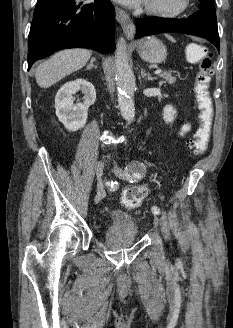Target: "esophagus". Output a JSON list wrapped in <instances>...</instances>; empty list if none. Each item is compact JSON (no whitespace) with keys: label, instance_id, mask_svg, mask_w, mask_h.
<instances>
[{"label":"esophagus","instance_id":"34e87169","mask_svg":"<svg viewBox=\"0 0 233 328\" xmlns=\"http://www.w3.org/2000/svg\"><path fill=\"white\" fill-rule=\"evenodd\" d=\"M116 20L122 26L127 38H133L135 33V25L130 19L128 13L123 9L116 7L115 8Z\"/></svg>","mask_w":233,"mask_h":328}]
</instances>
